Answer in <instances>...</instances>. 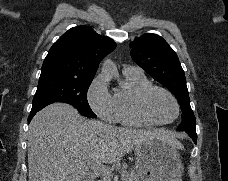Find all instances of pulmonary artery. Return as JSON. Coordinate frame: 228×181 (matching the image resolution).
<instances>
[{
  "label": "pulmonary artery",
  "instance_id": "e3ab8cb5",
  "mask_svg": "<svg viewBox=\"0 0 228 181\" xmlns=\"http://www.w3.org/2000/svg\"><path fill=\"white\" fill-rule=\"evenodd\" d=\"M132 75H141V70H132Z\"/></svg>",
  "mask_w": 228,
  "mask_h": 181
}]
</instances>
